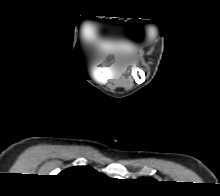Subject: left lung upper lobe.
<instances>
[{"mask_svg": "<svg viewBox=\"0 0 220 196\" xmlns=\"http://www.w3.org/2000/svg\"><path fill=\"white\" fill-rule=\"evenodd\" d=\"M139 180H151V179H148V178L144 179V178H142V179H139Z\"/></svg>", "mask_w": 220, "mask_h": 196, "instance_id": "left-lung-upper-lobe-1", "label": "left lung upper lobe"}]
</instances>
